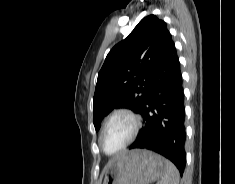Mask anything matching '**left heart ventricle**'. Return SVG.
<instances>
[{
	"mask_svg": "<svg viewBox=\"0 0 235 184\" xmlns=\"http://www.w3.org/2000/svg\"><path fill=\"white\" fill-rule=\"evenodd\" d=\"M133 130V122L126 115L114 118L101 138L103 150L108 154L117 152L127 141Z\"/></svg>",
	"mask_w": 235,
	"mask_h": 184,
	"instance_id": "b2bd125f",
	"label": "left heart ventricle"
}]
</instances>
